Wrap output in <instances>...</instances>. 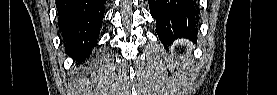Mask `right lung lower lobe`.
Here are the masks:
<instances>
[{
	"label": "right lung lower lobe",
	"mask_w": 277,
	"mask_h": 95,
	"mask_svg": "<svg viewBox=\"0 0 277 95\" xmlns=\"http://www.w3.org/2000/svg\"><path fill=\"white\" fill-rule=\"evenodd\" d=\"M105 2V0H56L65 52L78 64L89 57L97 43Z\"/></svg>",
	"instance_id": "98d812e1"
}]
</instances>
